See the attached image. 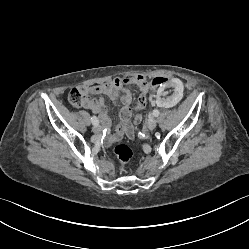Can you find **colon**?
I'll return each mask as SVG.
<instances>
[{
  "instance_id": "1",
  "label": "colon",
  "mask_w": 249,
  "mask_h": 249,
  "mask_svg": "<svg viewBox=\"0 0 249 249\" xmlns=\"http://www.w3.org/2000/svg\"><path fill=\"white\" fill-rule=\"evenodd\" d=\"M165 80H166L165 76L157 75L151 79V84L152 86H162V83ZM68 99L72 106L79 108L84 105L86 96L80 89L75 88L69 93ZM146 101H147V95L141 94L138 98L136 106V114L134 117L135 122H139L141 120V111L145 108ZM112 153L120 160L123 166L126 165L132 157L131 149L125 144H116L112 148Z\"/></svg>"
}]
</instances>
